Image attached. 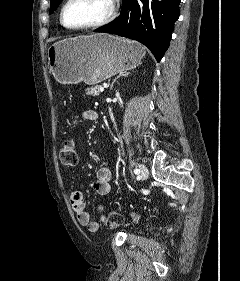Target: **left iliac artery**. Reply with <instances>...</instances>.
Returning a JSON list of instances; mask_svg holds the SVG:
<instances>
[{
	"label": "left iliac artery",
	"instance_id": "left-iliac-artery-1",
	"mask_svg": "<svg viewBox=\"0 0 240 281\" xmlns=\"http://www.w3.org/2000/svg\"><path fill=\"white\" fill-rule=\"evenodd\" d=\"M134 173H135V174H139V173H140V170L136 168V169L134 170Z\"/></svg>",
	"mask_w": 240,
	"mask_h": 281
}]
</instances>
